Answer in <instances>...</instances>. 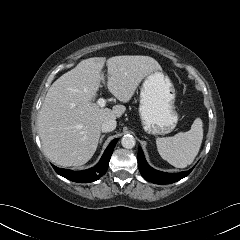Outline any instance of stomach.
<instances>
[{"instance_id": "obj_1", "label": "stomach", "mask_w": 240, "mask_h": 240, "mask_svg": "<svg viewBox=\"0 0 240 240\" xmlns=\"http://www.w3.org/2000/svg\"><path fill=\"white\" fill-rule=\"evenodd\" d=\"M175 88L162 70L149 73L140 89L139 115L145 132L165 135L173 131L178 122L175 110Z\"/></svg>"}]
</instances>
